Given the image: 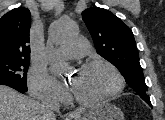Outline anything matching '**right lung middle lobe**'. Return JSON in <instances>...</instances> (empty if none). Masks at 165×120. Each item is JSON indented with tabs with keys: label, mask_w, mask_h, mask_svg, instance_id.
<instances>
[{
	"label": "right lung middle lobe",
	"mask_w": 165,
	"mask_h": 120,
	"mask_svg": "<svg viewBox=\"0 0 165 120\" xmlns=\"http://www.w3.org/2000/svg\"><path fill=\"white\" fill-rule=\"evenodd\" d=\"M30 58H0V85L27 91V71Z\"/></svg>",
	"instance_id": "dd1d6c3e"
}]
</instances>
